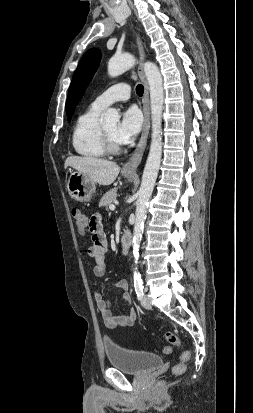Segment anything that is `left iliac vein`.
Here are the masks:
<instances>
[{"instance_id":"4c4485c4","label":"left iliac vein","mask_w":253,"mask_h":413,"mask_svg":"<svg viewBox=\"0 0 253 413\" xmlns=\"http://www.w3.org/2000/svg\"><path fill=\"white\" fill-rule=\"evenodd\" d=\"M141 305L145 308V309H151L152 308V304L150 301V298L147 295H144L143 298L141 299Z\"/></svg>"}]
</instances>
